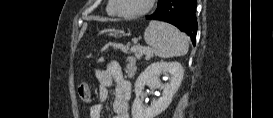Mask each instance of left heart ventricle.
<instances>
[{"mask_svg": "<svg viewBox=\"0 0 273 118\" xmlns=\"http://www.w3.org/2000/svg\"><path fill=\"white\" fill-rule=\"evenodd\" d=\"M148 0H119V8L126 13H135L143 10Z\"/></svg>", "mask_w": 273, "mask_h": 118, "instance_id": "1", "label": "left heart ventricle"}]
</instances>
